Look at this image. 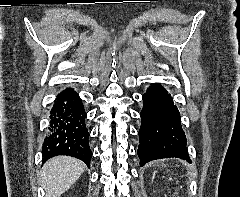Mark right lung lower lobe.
Returning a JSON list of instances; mask_svg holds the SVG:
<instances>
[{
  "label": "right lung lower lobe",
  "instance_id": "right-lung-lower-lobe-1",
  "mask_svg": "<svg viewBox=\"0 0 240 197\" xmlns=\"http://www.w3.org/2000/svg\"><path fill=\"white\" fill-rule=\"evenodd\" d=\"M85 118L86 112L78 93L67 88L58 94L50 111L49 132L42 147L44 161L53 156L68 155L82 160L89 167L92 152Z\"/></svg>",
  "mask_w": 240,
  "mask_h": 197
}]
</instances>
